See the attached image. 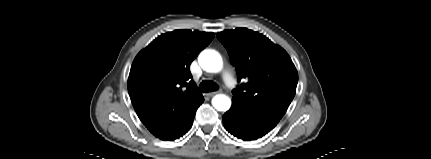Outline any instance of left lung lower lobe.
Returning <instances> with one entry per match:
<instances>
[{
	"label": "left lung lower lobe",
	"mask_w": 431,
	"mask_h": 159,
	"mask_svg": "<svg viewBox=\"0 0 431 159\" xmlns=\"http://www.w3.org/2000/svg\"><path fill=\"white\" fill-rule=\"evenodd\" d=\"M223 124L233 136L244 141H251L264 136L277 123L245 113L232 104L231 109L223 115Z\"/></svg>",
	"instance_id": "1"
}]
</instances>
